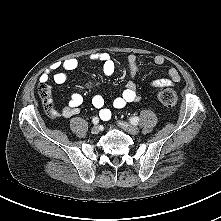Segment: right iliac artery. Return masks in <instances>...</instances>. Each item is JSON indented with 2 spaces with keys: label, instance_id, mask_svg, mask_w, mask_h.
Here are the masks:
<instances>
[{
  "label": "right iliac artery",
  "instance_id": "1",
  "mask_svg": "<svg viewBox=\"0 0 221 221\" xmlns=\"http://www.w3.org/2000/svg\"><path fill=\"white\" fill-rule=\"evenodd\" d=\"M92 122H93V124H98L99 123V118L98 117H94L93 119H92Z\"/></svg>",
  "mask_w": 221,
  "mask_h": 221
}]
</instances>
